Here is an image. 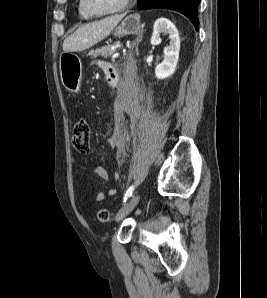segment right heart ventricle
I'll list each match as a JSON object with an SVG mask.
<instances>
[{"mask_svg": "<svg viewBox=\"0 0 267 298\" xmlns=\"http://www.w3.org/2000/svg\"><path fill=\"white\" fill-rule=\"evenodd\" d=\"M78 13L85 20H89L92 18L83 10L82 5H81V0L78 1Z\"/></svg>", "mask_w": 267, "mask_h": 298, "instance_id": "1", "label": "right heart ventricle"}]
</instances>
